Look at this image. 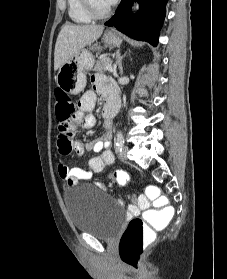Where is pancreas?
Segmentation results:
<instances>
[{
  "instance_id": "pancreas-1",
  "label": "pancreas",
  "mask_w": 227,
  "mask_h": 279,
  "mask_svg": "<svg viewBox=\"0 0 227 279\" xmlns=\"http://www.w3.org/2000/svg\"><path fill=\"white\" fill-rule=\"evenodd\" d=\"M112 60L109 57H102L100 58L94 67V71H106V65H111Z\"/></svg>"
}]
</instances>
